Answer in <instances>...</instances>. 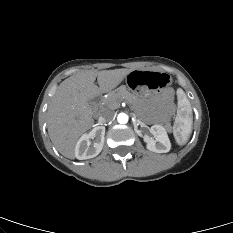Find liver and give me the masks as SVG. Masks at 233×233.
Segmentation results:
<instances>
[{
  "mask_svg": "<svg viewBox=\"0 0 233 233\" xmlns=\"http://www.w3.org/2000/svg\"><path fill=\"white\" fill-rule=\"evenodd\" d=\"M131 69L86 70L65 79L58 86L47 111L49 137L56 149L69 159L75 158L78 138L93 124L88 101L116 88ZM97 78L98 85L94 82Z\"/></svg>",
  "mask_w": 233,
  "mask_h": 233,
  "instance_id": "liver-1",
  "label": "liver"
}]
</instances>
